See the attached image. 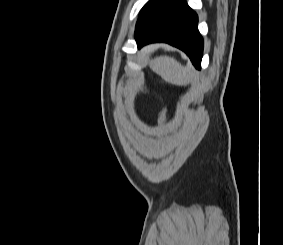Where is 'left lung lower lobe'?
Instances as JSON below:
<instances>
[{
    "mask_svg": "<svg viewBox=\"0 0 283 245\" xmlns=\"http://www.w3.org/2000/svg\"><path fill=\"white\" fill-rule=\"evenodd\" d=\"M197 14L185 0H176L145 33L136 37L138 48L152 42H166L183 50L193 65L201 68L203 39L197 28Z\"/></svg>",
    "mask_w": 283,
    "mask_h": 245,
    "instance_id": "left-lung-lower-lobe-1",
    "label": "left lung lower lobe"
}]
</instances>
